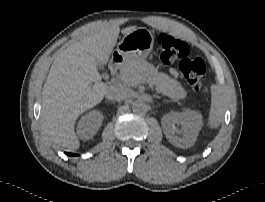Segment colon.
Wrapping results in <instances>:
<instances>
[{
    "mask_svg": "<svg viewBox=\"0 0 265 202\" xmlns=\"http://www.w3.org/2000/svg\"><path fill=\"white\" fill-rule=\"evenodd\" d=\"M161 60L165 63L179 61L180 70L197 93H203V81L207 71L205 63L200 58H190V49L187 43L178 40L168 33H161L158 37Z\"/></svg>",
    "mask_w": 265,
    "mask_h": 202,
    "instance_id": "colon-1",
    "label": "colon"
}]
</instances>
